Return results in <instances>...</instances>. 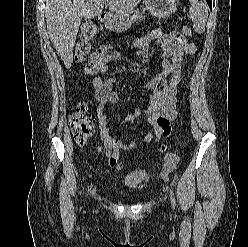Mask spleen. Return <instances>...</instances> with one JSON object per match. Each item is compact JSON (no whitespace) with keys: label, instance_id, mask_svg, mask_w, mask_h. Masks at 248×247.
Masks as SVG:
<instances>
[{"label":"spleen","instance_id":"obj_1","mask_svg":"<svg viewBox=\"0 0 248 247\" xmlns=\"http://www.w3.org/2000/svg\"><path fill=\"white\" fill-rule=\"evenodd\" d=\"M191 7L189 9L194 30L201 34L205 31V24L208 18V7L206 4L198 0H190Z\"/></svg>","mask_w":248,"mask_h":247}]
</instances>
